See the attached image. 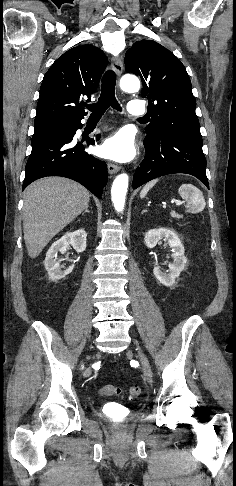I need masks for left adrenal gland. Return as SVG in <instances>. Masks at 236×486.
I'll return each mask as SVG.
<instances>
[{
  "mask_svg": "<svg viewBox=\"0 0 236 486\" xmlns=\"http://www.w3.org/2000/svg\"><path fill=\"white\" fill-rule=\"evenodd\" d=\"M146 211H147V210H146V209H144V210H142V213H144V212H146Z\"/></svg>",
  "mask_w": 236,
  "mask_h": 486,
  "instance_id": "a2214340",
  "label": "left adrenal gland"
}]
</instances>
